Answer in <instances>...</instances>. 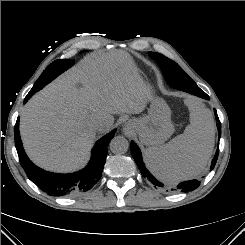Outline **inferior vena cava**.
Returning <instances> with one entry per match:
<instances>
[{"mask_svg":"<svg viewBox=\"0 0 245 245\" xmlns=\"http://www.w3.org/2000/svg\"><path fill=\"white\" fill-rule=\"evenodd\" d=\"M104 126H105V123L102 122V121H99V122L97 123V128H98V129H100V128L104 127Z\"/></svg>","mask_w":245,"mask_h":245,"instance_id":"inferior-vena-cava-1","label":"inferior vena cava"}]
</instances>
